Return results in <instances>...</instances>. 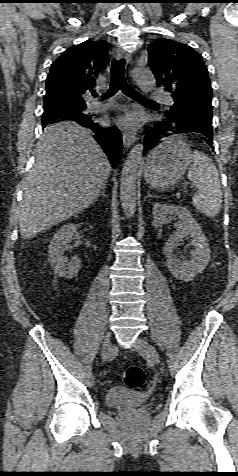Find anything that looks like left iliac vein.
Segmentation results:
<instances>
[{
	"label": "left iliac vein",
	"instance_id": "left-iliac-vein-1",
	"mask_svg": "<svg viewBox=\"0 0 238 476\" xmlns=\"http://www.w3.org/2000/svg\"><path fill=\"white\" fill-rule=\"evenodd\" d=\"M134 348L139 354L147 357L151 362L156 364L160 362V357L155 347L144 339L138 337L134 343Z\"/></svg>",
	"mask_w": 238,
	"mask_h": 476
}]
</instances>
